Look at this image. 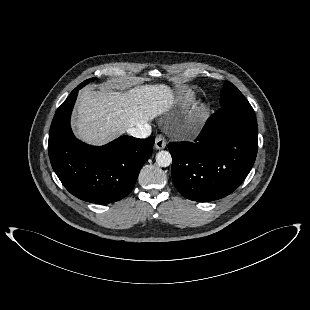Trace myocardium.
<instances>
[{
  "label": "myocardium",
  "mask_w": 310,
  "mask_h": 310,
  "mask_svg": "<svg viewBox=\"0 0 310 310\" xmlns=\"http://www.w3.org/2000/svg\"><path fill=\"white\" fill-rule=\"evenodd\" d=\"M205 117V109L202 107L194 108L188 115V123L191 127L195 128L199 126Z\"/></svg>",
  "instance_id": "1"
}]
</instances>
